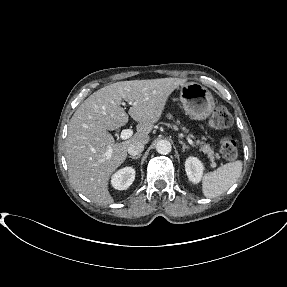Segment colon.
Here are the masks:
<instances>
[{
	"mask_svg": "<svg viewBox=\"0 0 287 287\" xmlns=\"http://www.w3.org/2000/svg\"><path fill=\"white\" fill-rule=\"evenodd\" d=\"M233 119L230 112L223 106L217 107L210 120L209 127L212 130H221L232 125ZM221 156L226 160H234L238 154V145L233 135L224 136L219 143Z\"/></svg>",
	"mask_w": 287,
	"mask_h": 287,
	"instance_id": "obj_1",
	"label": "colon"
}]
</instances>
